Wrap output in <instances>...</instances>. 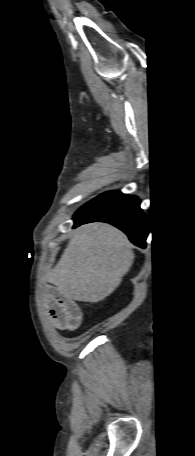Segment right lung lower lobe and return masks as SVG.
I'll use <instances>...</instances> for the list:
<instances>
[{
  "instance_id": "98d812e1",
  "label": "right lung lower lobe",
  "mask_w": 195,
  "mask_h": 456,
  "mask_svg": "<svg viewBox=\"0 0 195 456\" xmlns=\"http://www.w3.org/2000/svg\"><path fill=\"white\" fill-rule=\"evenodd\" d=\"M74 228L89 222H107L125 232L135 245L145 248L148 221L140 200L120 191L105 192L82 206L74 216Z\"/></svg>"
}]
</instances>
